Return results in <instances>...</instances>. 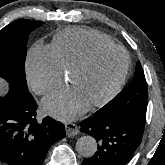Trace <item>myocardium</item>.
Listing matches in <instances>:
<instances>
[{
    "mask_svg": "<svg viewBox=\"0 0 165 165\" xmlns=\"http://www.w3.org/2000/svg\"><path fill=\"white\" fill-rule=\"evenodd\" d=\"M105 50H118V51L122 52L124 55V58H125V63H124L123 70H122L118 80L113 85V87L101 99H98L96 101L89 103V105L92 107H100V106L107 104L118 94V92L123 87V85L126 81L128 72H129V68H130V56H129L128 52L122 46L115 44V43L97 45V46L93 47L80 61H78L69 72V78L71 80V78L74 74H76L77 72L88 67L92 63V61L95 59V57L100 52L105 51Z\"/></svg>",
    "mask_w": 165,
    "mask_h": 165,
    "instance_id": "1",
    "label": "myocardium"
}]
</instances>
